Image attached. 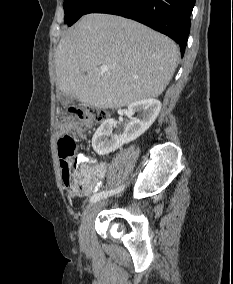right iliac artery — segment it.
Instances as JSON below:
<instances>
[{
    "label": "right iliac artery",
    "instance_id": "82829eb1",
    "mask_svg": "<svg viewBox=\"0 0 233 284\" xmlns=\"http://www.w3.org/2000/svg\"><path fill=\"white\" fill-rule=\"evenodd\" d=\"M123 189V187H119L115 190H110V191H102L99 193H95L91 198H90V202L94 203L96 201H99L100 199L106 198L108 195H113L115 193H119L121 190Z\"/></svg>",
    "mask_w": 233,
    "mask_h": 284
}]
</instances>
